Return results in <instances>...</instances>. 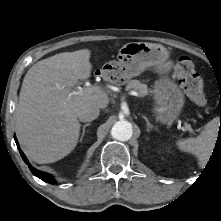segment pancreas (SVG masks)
<instances>
[{"label": "pancreas", "mask_w": 221, "mask_h": 221, "mask_svg": "<svg viewBox=\"0 0 221 221\" xmlns=\"http://www.w3.org/2000/svg\"><path fill=\"white\" fill-rule=\"evenodd\" d=\"M130 89L138 91L141 97H144L150 93L147 85L141 83L139 80H130L126 86V90Z\"/></svg>", "instance_id": "obj_1"}]
</instances>
